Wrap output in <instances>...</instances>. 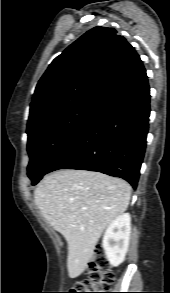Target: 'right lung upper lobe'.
<instances>
[{"label": "right lung upper lobe", "instance_id": "right-lung-upper-lobe-1", "mask_svg": "<svg viewBox=\"0 0 170 293\" xmlns=\"http://www.w3.org/2000/svg\"><path fill=\"white\" fill-rule=\"evenodd\" d=\"M147 78L135 49L114 28L97 26L64 50L38 82L27 129L78 104L103 105Z\"/></svg>", "mask_w": 170, "mask_h": 293}]
</instances>
